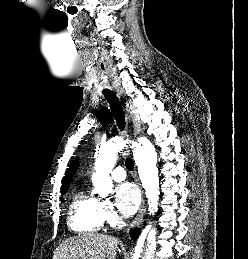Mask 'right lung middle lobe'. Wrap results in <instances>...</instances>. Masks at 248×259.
<instances>
[{"label": "right lung middle lobe", "mask_w": 248, "mask_h": 259, "mask_svg": "<svg viewBox=\"0 0 248 259\" xmlns=\"http://www.w3.org/2000/svg\"><path fill=\"white\" fill-rule=\"evenodd\" d=\"M67 192V190H61L62 194H65ZM63 201V200H62Z\"/></svg>", "instance_id": "1"}]
</instances>
